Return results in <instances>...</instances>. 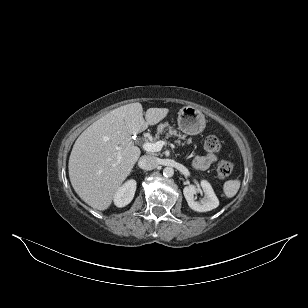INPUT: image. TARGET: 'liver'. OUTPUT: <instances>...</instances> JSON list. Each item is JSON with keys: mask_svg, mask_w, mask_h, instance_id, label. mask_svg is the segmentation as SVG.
<instances>
[{"mask_svg": "<svg viewBox=\"0 0 308 308\" xmlns=\"http://www.w3.org/2000/svg\"><path fill=\"white\" fill-rule=\"evenodd\" d=\"M168 113L167 108H149L144 119L142 105L131 103L110 111L82 132L73 145L68 169L70 182L85 203L101 211L111 205L141 154L131 135L159 123Z\"/></svg>", "mask_w": 308, "mask_h": 308, "instance_id": "obj_1", "label": "liver"}]
</instances>
